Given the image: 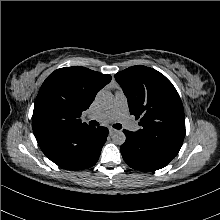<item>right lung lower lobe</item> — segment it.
I'll return each mask as SVG.
<instances>
[{"mask_svg": "<svg viewBox=\"0 0 220 220\" xmlns=\"http://www.w3.org/2000/svg\"><path fill=\"white\" fill-rule=\"evenodd\" d=\"M106 127H91L45 143H38L43 153L58 166L82 170L95 165L107 139Z\"/></svg>", "mask_w": 220, "mask_h": 220, "instance_id": "1", "label": "right lung lower lobe"}]
</instances>
